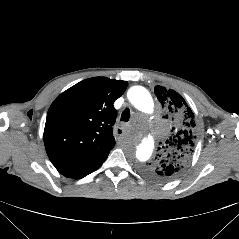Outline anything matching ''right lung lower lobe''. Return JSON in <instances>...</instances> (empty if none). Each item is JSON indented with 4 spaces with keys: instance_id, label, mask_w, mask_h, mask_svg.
Listing matches in <instances>:
<instances>
[{
    "instance_id": "98d812e1",
    "label": "right lung lower lobe",
    "mask_w": 239,
    "mask_h": 239,
    "mask_svg": "<svg viewBox=\"0 0 239 239\" xmlns=\"http://www.w3.org/2000/svg\"><path fill=\"white\" fill-rule=\"evenodd\" d=\"M108 154L106 156H104L103 158H101L99 161H97L95 164H93L88 169L84 170L83 172H81L79 174H76L75 176H73L71 178L79 179V178H83V177L87 176L88 174L92 173L93 171H95L102 165V163L106 160Z\"/></svg>"
}]
</instances>
